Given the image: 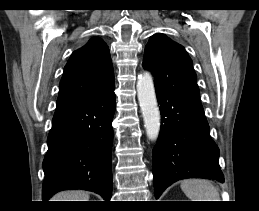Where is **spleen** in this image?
I'll list each match as a JSON object with an SVG mask.
<instances>
[{"mask_svg": "<svg viewBox=\"0 0 259 211\" xmlns=\"http://www.w3.org/2000/svg\"><path fill=\"white\" fill-rule=\"evenodd\" d=\"M181 189L190 201H220L218 190L209 180L186 179Z\"/></svg>", "mask_w": 259, "mask_h": 211, "instance_id": "1", "label": "spleen"}]
</instances>
